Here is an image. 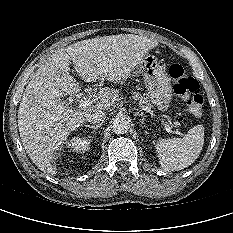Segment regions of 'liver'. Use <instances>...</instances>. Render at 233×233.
<instances>
[{
	"instance_id": "liver-1",
	"label": "liver",
	"mask_w": 233,
	"mask_h": 233,
	"mask_svg": "<svg viewBox=\"0 0 233 233\" xmlns=\"http://www.w3.org/2000/svg\"><path fill=\"white\" fill-rule=\"evenodd\" d=\"M158 42L146 36L119 34L78 41L53 53L29 81L18 110V129L29 158L42 172L57 173L56 151L82 126L93 110H107L117 100L112 88H102L95 104L73 110L62 101L80 91L70 75V63L85 82L107 79L122 83Z\"/></svg>"
}]
</instances>
